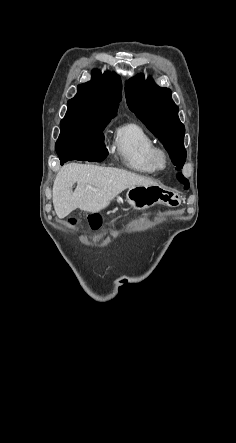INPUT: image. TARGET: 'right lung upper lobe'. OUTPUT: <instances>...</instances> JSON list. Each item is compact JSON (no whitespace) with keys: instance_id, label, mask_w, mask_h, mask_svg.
Segmentation results:
<instances>
[{"instance_id":"obj_1","label":"right lung upper lobe","mask_w":236,"mask_h":443,"mask_svg":"<svg viewBox=\"0 0 236 443\" xmlns=\"http://www.w3.org/2000/svg\"><path fill=\"white\" fill-rule=\"evenodd\" d=\"M122 83L118 75L99 70L92 71V78L78 86L76 96L68 101L67 113L114 116L122 95Z\"/></svg>"}]
</instances>
